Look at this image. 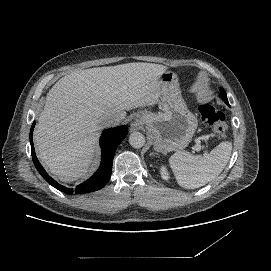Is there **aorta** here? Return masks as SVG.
Segmentation results:
<instances>
[{
  "instance_id": "1",
  "label": "aorta",
  "mask_w": 271,
  "mask_h": 271,
  "mask_svg": "<svg viewBox=\"0 0 271 271\" xmlns=\"http://www.w3.org/2000/svg\"><path fill=\"white\" fill-rule=\"evenodd\" d=\"M129 143L133 148H142L145 145V136L141 132H133L129 137Z\"/></svg>"
}]
</instances>
